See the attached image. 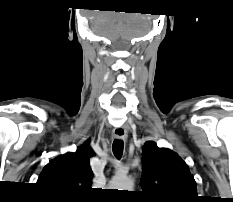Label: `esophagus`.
<instances>
[{"label":"esophagus","mask_w":233,"mask_h":202,"mask_svg":"<svg viewBox=\"0 0 233 202\" xmlns=\"http://www.w3.org/2000/svg\"><path fill=\"white\" fill-rule=\"evenodd\" d=\"M113 134L117 139H125L127 137V132L124 127L115 128Z\"/></svg>","instance_id":"esophagus-1"}]
</instances>
